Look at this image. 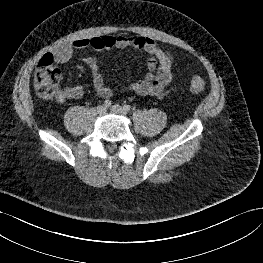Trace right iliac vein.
<instances>
[{
	"instance_id": "obj_1",
	"label": "right iliac vein",
	"mask_w": 263,
	"mask_h": 263,
	"mask_svg": "<svg viewBox=\"0 0 263 263\" xmlns=\"http://www.w3.org/2000/svg\"><path fill=\"white\" fill-rule=\"evenodd\" d=\"M105 112H106V107L104 105H99L97 107V113L98 114L102 115V114H105Z\"/></svg>"
}]
</instances>
